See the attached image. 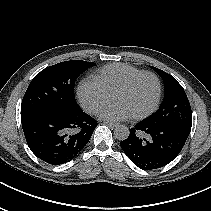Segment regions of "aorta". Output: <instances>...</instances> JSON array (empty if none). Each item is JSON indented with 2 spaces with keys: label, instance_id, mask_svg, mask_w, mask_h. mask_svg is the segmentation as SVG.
Listing matches in <instances>:
<instances>
[{
  "label": "aorta",
  "instance_id": "762f6f07",
  "mask_svg": "<svg viewBox=\"0 0 211 211\" xmlns=\"http://www.w3.org/2000/svg\"><path fill=\"white\" fill-rule=\"evenodd\" d=\"M130 134L129 128L125 125H118L114 129V135L118 140H125Z\"/></svg>",
  "mask_w": 211,
  "mask_h": 211
}]
</instances>
